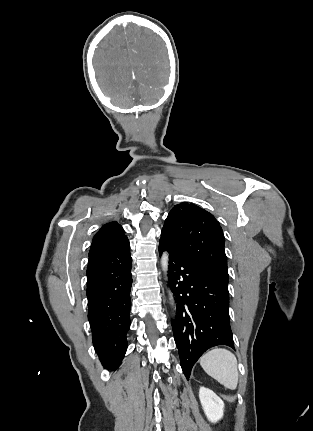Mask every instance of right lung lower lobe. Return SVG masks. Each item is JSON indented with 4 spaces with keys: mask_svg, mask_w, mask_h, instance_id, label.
<instances>
[{
    "mask_svg": "<svg viewBox=\"0 0 313 431\" xmlns=\"http://www.w3.org/2000/svg\"><path fill=\"white\" fill-rule=\"evenodd\" d=\"M132 258L129 241L89 257L88 320L95 351L104 368L119 367L130 328Z\"/></svg>",
    "mask_w": 313,
    "mask_h": 431,
    "instance_id": "1",
    "label": "right lung lower lobe"
}]
</instances>
